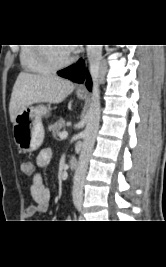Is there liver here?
<instances>
[{
  "label": "liver",
  "instance_id": "obj_1",
  "mask_svg": "<svg viewBox=\"0 0 166 267\" xmlns=\"http://www.w3.org/2000/svg\"><path fill=\"white\" fill-rule=\"evenodd\" d=\"M75 85L53 74L19 73L13 86L9 104L10 120L32 104L47 102L58 104L72 93Z\"/></svg>",
  "mask_w": 166,
  "mask_h": 267
}]
</instances>
